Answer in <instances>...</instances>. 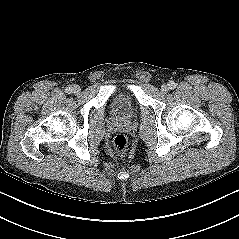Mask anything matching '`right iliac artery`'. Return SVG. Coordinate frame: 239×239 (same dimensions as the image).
Segmentation results:
<instances>
[{"label":"right iliac artery","mask_w":239,"mask_h":239,"mask_svg":"<svg viewBox=\"0 0 239 239\" xmlns=\"http://www.w3.org/2000/svg\"><path fill=\"white\" fill-rule=\"evenodd\" d=\"M72 91H73V88H72L71 86H68V87L66 88V92H67V93H72Z\"/></svg>","instance_id":"1"}]
</instances>
